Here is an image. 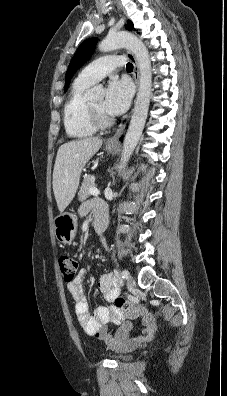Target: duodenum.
I'll return each instance as SVG.
<instances>
[{"label": "duodenum", "mask_w": 227, "mask_h": 396, "mask_svg": "<svg viewBox=\"0 0 227 396\" xmlns=\"http://www.w3.org/2000/svg\"><path fill=\"white\" fill-rule=\"evenodd\" d=\"M107 226V216L106 214H101L95 218L94 229L97 233H102Z\"/></svg>", "instance_id": "410a0bca"}]
</instances>
